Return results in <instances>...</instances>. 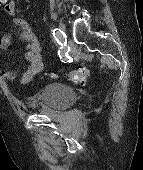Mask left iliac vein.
<instances>
[{"label": "left iliac vein", "mask_w": 143, "mask_h": 170, "mask_svg": "<svg viewBox=\"0 0 143 170\" xmlns=\"http://www.w3.org/2000/svg\"><path fill=\"white\" fill-rule=\"evenodd\" d=\"M59 29L64 32L65 31V25L63 23H60L59 24Z\"/></svg>", "instance_id": "left-iliac-vein-1"}]
</instances>
